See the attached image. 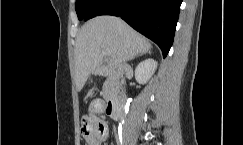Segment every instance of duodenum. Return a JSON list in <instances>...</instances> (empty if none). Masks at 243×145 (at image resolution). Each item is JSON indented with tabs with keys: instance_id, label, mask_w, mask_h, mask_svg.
I'll use <instances>...</instances> for the list:
<instances>
[{
	"instance_id": "410a0bca",
	"label": "duodenum",
	"mask_w": 243,
	"mask_h": 145,
	"mask_svg": "<svg viewBox=\"0 0 243 145\" xmlns=\"http://www.w3.org/2000/svg\"><path fill=\"white\" fill-rule=\"evenodd\" d=\"M96 74L99 75H112L117 76L120 74L118 69L112 67H100L95 70ZM124 107V99L121 97H111L106 103V113L113 119L118 120L122 116Z\"/></svg>"
}]
</instances>
